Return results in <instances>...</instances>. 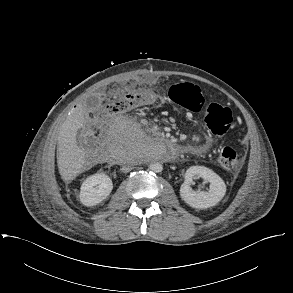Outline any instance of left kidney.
<instances>
[{
    "mask_svg": "<svg viewBox=\"0 0 293 293\" xmlns=\"http://www.w3.org/2000/svg\"><path fill=\"white\" fill-rule=\"evenodd\" d=\"M199 176L210 183L208 191H195L190 187L193 178ZM226 193L222 178L204 166H192L185 173V182L180 187V196L189 206L206 209L216 205Z\"/></svg>",
    "mask_w": 293,
    "mask_h": 293,
    "instance_id": "1",
    "label": "left kidney"
}]
</instances>
